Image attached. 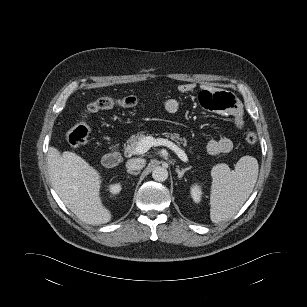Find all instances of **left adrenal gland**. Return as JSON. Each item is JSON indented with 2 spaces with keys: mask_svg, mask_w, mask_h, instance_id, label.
Listing matches in <instances>:
<instances>
[{
  "mask_svg": "<svg viewBox=\"0 0 307 307\" xmlns=\"http://www.w3.org/2000/svg\"><path fill=\"white\" fill-rule=\"evenodd\" d=\"M191 169V166L184 168L182 170H180L179 168H176V172L178 173V178L182 179V177L184 176V174Z\"/></svg>",
  "mask_w": 307,
  "mask_h": 307,
  "instance_id": "1",
  "label": "left adrenal gland"
}]
</instances>
